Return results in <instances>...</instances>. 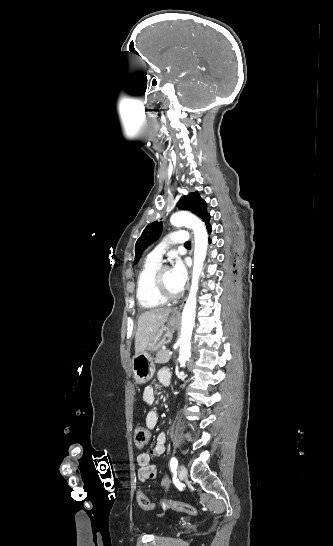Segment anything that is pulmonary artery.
I'll use <instances>...</instances> for the list:
<instances>
[{"mask_svg": "<svg viewBox=\"0 0 333 546\" xmlns=\"http://www.w3.org/2000/svg\"><path fill=\"white\" fill-rule=\"evenodd\" d=\"M188 233L184 230L174 231L168 235L166 240L159 244L149 255L148 258L160 262L165 249L169 244H185L188 242Z\"/></svg>", "mask_w": 333, "mask_h": 546, "instance_id": "1", "label": "pulmonary artery"}]
</instances>
